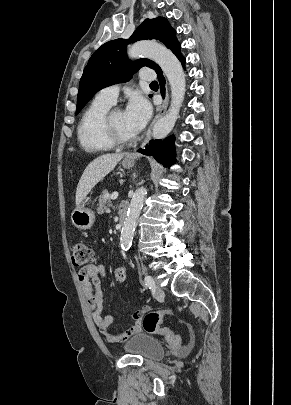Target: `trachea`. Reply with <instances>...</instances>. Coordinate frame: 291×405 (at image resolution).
Segmentation results:
<instances>
[{
	"label": "trachea",
	"mask_w": 291,
	"mask_h": 405,
	"mask_svg": "<svg viewBox=\"0 0 291 405\" xmlns=\"http://www.w3.org/2000/svg\"><path fill=\"white\" fill-rule=\"evenodd\" d=\"M150 85H151V86H157L158 83H157V81H153L152 83H150Z\"/></svg>",
	"instance_id": "1"
}]
</instances>
